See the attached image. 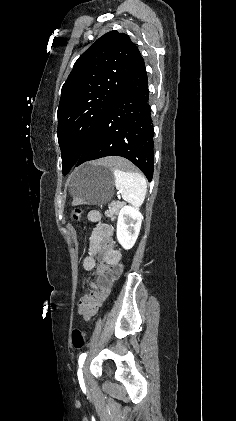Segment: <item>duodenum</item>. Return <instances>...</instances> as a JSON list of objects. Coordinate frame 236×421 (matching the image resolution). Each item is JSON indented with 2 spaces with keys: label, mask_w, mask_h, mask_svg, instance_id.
Segmentation results:
<instances>
[{
  "label": "duodenum",
  "mask_w": 236,
  "mask_h": 421,
  "mask_svg": "<svg viewBox=\"0 0 236 421\" xmlns=\"http://www.w3.org/2000/svg\"><path fill=\"white\" fill-rule=\"evenodd\" d=\"M102 263L98 268L97 287L91 296L83 300V309L87 315H93L101 307L109 294L110 287L121 271L120 253L109 243H104L98 252ZM93 260V256L91 257Z\"/></svg>",
  "instance_id": "410a0bca"
}]
</instances>
